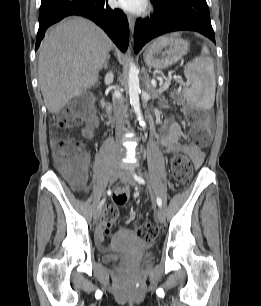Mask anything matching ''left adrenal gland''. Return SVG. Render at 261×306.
<instances>
[{
	"mask_svg": "<svg viewBox=\"0 0 261 306\" xmlns=\"http://www.w3.org/2000/svg\"><path fill=\"white\" fill-rule=\"evenodd\" d=\"M145 87H146V90L147 91H150V80H149V77L147 75V79L145 81Z\"/></svg>",
	"mask_w": 261,
	"mask_h": 306,
	"instance_id": "a2214340",
	"label": "left adrenal gland"
}]
</instances>
